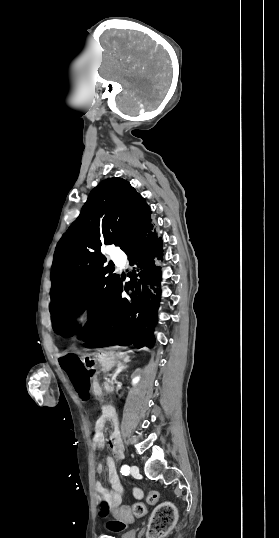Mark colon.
<instances>
[{"label":"colon","mask_w":279,"mask_h":538,"mask_svg":"<svg viewBox=\"0 0 279 538\" xmlns=\"http://www.w3.org/2000/svg\"><path fill=\"white\" fill-rule=\"evenodd\" d=\"M100 507L101 513L107 515L110 513L111 506L108 504L103 494H100ZM159 493L157 491H151L146 497V503L137 502L132 506H122L115 511V516L124 522H130L135 517H141L146 514L147 506L155 505L158 502ZM176 521V509L170 503H165L156 508L153 513L150 529L148 532L149 538H161L164 536L174 525Z\"/></svg>","instance_id":"obj_1"}]
</instances>
